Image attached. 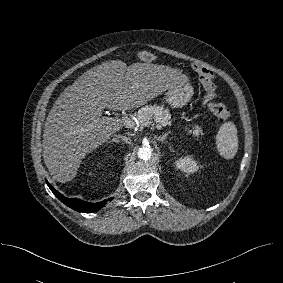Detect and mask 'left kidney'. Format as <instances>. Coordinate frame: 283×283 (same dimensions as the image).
<instances>
[{
  "mask_svg": "<svg viewBox=\"0 0 283 283\" xmlns=\"http://www.w3.org/2000/svg\"><path fill=\"white\" fill-rule=\"evenodd\" d=\"M178 169L186 173H194L199 169L197 162L191 156H184L175 161Z\"/></svg>",
  "mask_w": 283,
  "mask_h": 283,
  "instance_id": "left-kidney-1",
  "label": "left kidney"
}]
</instances>
